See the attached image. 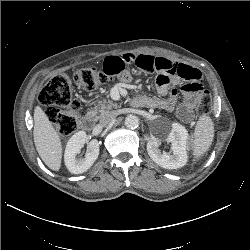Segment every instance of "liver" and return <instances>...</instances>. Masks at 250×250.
I'll return each mask as SVG.
<instances>
[{"mask_svg": "<svg viewBox=\"0 0 250 250\" xmlns=\"http://www.w3.org/2000/svg\"><path fill=\"white\" fill-rule=\"evenodd\" d=\"M33 137L42 161L53 171H59L62 161L60 137L40 106L34 110Z\"/></svg>", "mask_w": 250, "mask_h": 250, "instance_id": "6515ba94", "label": "liver"}]
</instances>
